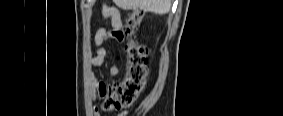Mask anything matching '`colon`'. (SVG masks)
<instances>
[{"mask_svg":"<svg viewBox=\"0 0 283 116\" xmlns=\"http://www.w3.org/2000/svg\"><path fill=\"white\" fill-rule=\"evenodd\" d=\"M144 12L140 9L128 13L119 40L128 38L124 50L128 58L127 73L121 83L98 87L100 107L105 112L118 111L131 106L144 90L147 76L146 49L134 35L141 26Z\"/></svg>","mask_w":283,"mask_h":116,"instance_id":"1","label":"colon"}]
</instances>
